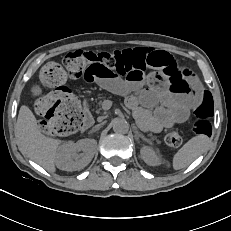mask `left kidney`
Instances as JSON below:
<instances>
[{"mask_svg": "<svg viewBox=\"0 0 231 231\" xmlns=\"http://www.w3.org/2000/svg\"><path fill=\"white\" fill-rule=\"evenodd\" d=\"M141 158L149 166H156L159 163L158 157L154 149L150 146H143L141 148Z\"/></svg>", "mask_w": 231, "mask_h": 231, "instance_id": "left-kidney-1", "label": "left kidney"}]
</instances>
